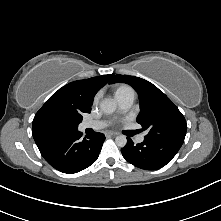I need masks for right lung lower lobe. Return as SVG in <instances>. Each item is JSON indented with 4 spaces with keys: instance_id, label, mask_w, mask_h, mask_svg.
Returning a JSON list of instances; mask_svg holds the SVG:
<instances>
[{
    "instance_id": "98d812e1",
    "label": "right lung lower lobe",
    "mask_w": 221,
    "mask_h": 221,
    "mask_svg": "<svg viewBox=\"0 0 221 221\" xmlns=\"http://www.w3.org/2000/svg\"><path fill=\"white\" fill-rule=\"evenodd\" d=\"M76 130L57 133L38 144L43 158L63 173L80 172L92 165L98 158L105 136L94 132L81 138Z\"/></svg>"
}]
</instances>
